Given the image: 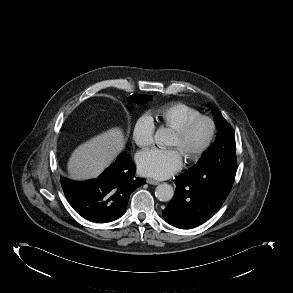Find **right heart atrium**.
I'll return each mask as SVG.
<instances>
[{
	"instance_id": "obj_1",
	"label": "right heart atrium",
	"mask_w": 293,
	"mask_h": 293,
	"mask_svg": "<svg viewBox=\"0 0 293 293\" xmlns=\"http://www.w3.org/2000/svg\"><path fill=\"white\" fill-rule=\"evenodd\" d=\"M155 123L149 114L140 115L134 122L132 136L134 142L141 148H146L153 143Z\"/></svg>"
}]
</instances>
